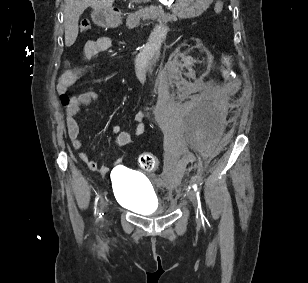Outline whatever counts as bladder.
Returning <instances> with one entry per match:
<instances>
[{
	"instance_id": "1",
	"label": "bladder",
	"mask_w": 308,
	"mask_h": 283,
	"mask_svg": "<svg viewBox=\"0 0 308 283\" xmlns=\"http://www.w3.org/2000/svg\"><path fill=\"white\" fill-rule=\"evenodd\" d=\"M115 199L124 207L143 215L164 213L157 193L149 178L126 167H117L111 173Z\"/></svg>"
}]
</instances>
